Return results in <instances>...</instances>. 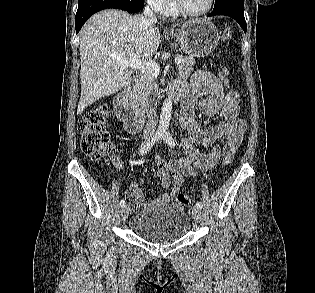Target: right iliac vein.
<instances>
[{"mask_svg":"<svg viewBox=\"0 0 315 293\" xmlns=\"http://www.w3.org/2000/svg\"><path fill=\"white\" fill-rule=\"evenodd\" d=\"M129 211H130V208L128 205L122 206V208L120 210V214H121L122 219H126L128 217Z\"/></svg>","mask_w":315,"mask_h":293,"instance_id":"obj_1","label":"right iliac vein"}]
</instances>
